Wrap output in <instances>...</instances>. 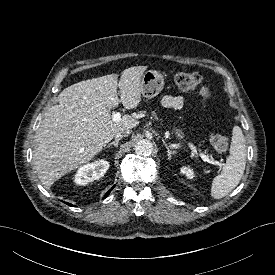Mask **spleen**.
<instances>
[{"label": "spleen", "instance_id": "spleen-1", "mask_svg": "<svg viewBox=\"0 0 275 275\" xmlns=\"http://www.w3.org/2000/svg\"><path fill=\"white\" fill-rule=\"evenodd\" d=\"M246 166V145L243 132L239 126H234L227 157L220 174L212 181L211 196L221 199L227 196L240 182Z\"/></svg>", "mask_w": 275, "mask_h": 275}]
</instances>
